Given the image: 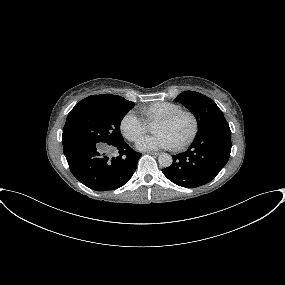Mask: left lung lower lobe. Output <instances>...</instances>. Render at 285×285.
Masks as SVG:
<instances>
[{
    "label": "left lung lower lobe",
    "mask_w": 285,
    "mask_h": 285,
    "mask_svg": "<svg viewBox=\"0 0 285 285\" xmlns=\"http://www.w3.org/2000/svg\"><path fill=\"white\" fill-rule=\"evenodd\" d=\"M231 152L230 129H209L197 134L185 153L173 156L162 170L173 183L195 188L209 183L227 163Z\"/></svg>",
    "instance_id": "0a47b994"
}]
</instances>
